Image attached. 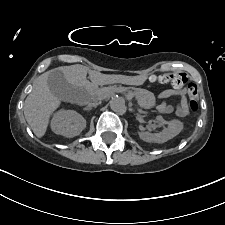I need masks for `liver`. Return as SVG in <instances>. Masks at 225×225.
Masks as SVG:
<instances>
[{
  "mask_svg": "<svg viewBox=\"0 0 225 225\" xmlns=\"http://www.w3.org/2000/svg\"><path fill=\"white\" fill-rule=\"evenodd\" d=\"M56 69L63 72L69 84L79 88H87L90 85L112 84L117 81L131 83L125 77L90 71L88 67L78 64L61 66ZM51 71L43 73L35 80L33 90L24 103L26 121L33 133L39 138L45 135L52 113L60 106V100L52 94L47 83L48 75ZM87 74H89V79L92 83L86 80Z\"/></svg>",
  "mask_w": 225,
  "mask_h": 225,
  "instance_id": "liver-1",
  "label": "liver"
}]
</instances>
